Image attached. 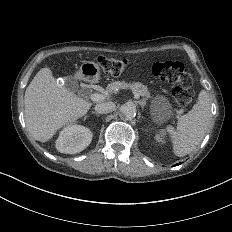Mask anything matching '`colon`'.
Listing matches in <instances>:
<instances>
[{
  "mask_svg": "<svg viewBox=\"0 0 232 232\" xmlns=\"http://www.w3.org/2000/svg\"><path fill=\"white\" fill-rule=\"evenodd\" d=\"M97 66L103 68L104 73L112 75H123L130 68V63L119 56H99L95 62ZM154 72L158 76H164L166 82H175L181 94L176 98L178 105H192L193 96L197 90L192 84L193 75L187 71V66L183 62H159L154 67ZM176 111H192V106H176Z\"/></svg>",
  "mask_w": 232,
  "mask_h": 232,
  "instance_id": "obj_1",
  "label": "colon"
}]
</instances>
